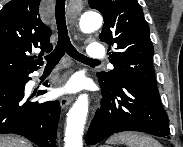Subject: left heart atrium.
<instances>
[{
	"label": "left heart atrium",
	"instance_id": "1",
	"mask_svg": "<svg viewBox=\"0 0 183 147\" xmlns=\"http://www.w3.org/2000/svg\"><path fill=\"white\" fill-rule=\"evenodd\" d=\"M81 84L79 82V80L77 79H73L71 81H69L64 88L62 89L63 92H75L78 89H80Z\"/></svg>",
	"mask_w": 183,
	"mask_h": 147
}]
</instances>
